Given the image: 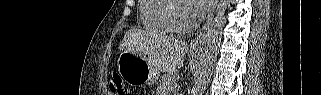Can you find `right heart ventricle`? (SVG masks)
Wrapping results in <instances>:
<instances>
[{"label": "right heart ventricle", "mask_w": 321, "mask_h": 95, "mask_svg": "<svg viewBox=\"0 0 321 95\" xmlns=\"http://www.w3.org/2000/svg\"><path fill=\"white\" fill-rule=\"evenodd\" d=\"M172 0H143L140 5L142 24L149 31L157 34H170L173 29L167 22V10Z\"/></svg>", "instance_id": "e07e8e85"}]
</instances>
